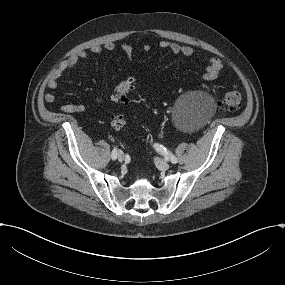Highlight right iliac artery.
<instances>
[{
	"label": "right iliac artery",
	"instance_id": "1",
	"mask_svg": "<svg viewBox=\"0 0 285 285\" xmlns=\"http://www.w3.org/2000/svg\"><path fill=\"white\" fill-rule=\"evenodd\" d=\"M117 154H118L117 148H114L111 154L112 160H115L117 158Z\"/></svg>",
	"mask_w": 285,
	"mask_h": 285
}]
</instances>
